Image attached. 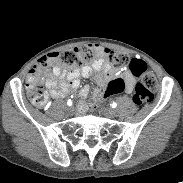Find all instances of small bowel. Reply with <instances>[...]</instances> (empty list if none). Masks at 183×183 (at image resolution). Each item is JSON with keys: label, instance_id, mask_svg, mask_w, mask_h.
<instances>
[{"label": "small bowel", "instance_id": "1", "mask_svg": "<svg viewBox=\"0 0 183 183\" xmlns=\"http://www.w3.org/2000/svg\"><path fill=\"white\" fill-rule=\"evenodd\" d=\"M51 72L60 78V80L50 79L47 81V85L52 89V95L57 98L64 97L78 89L81 86L82 78L94 75L96 83L101 87L108 86L111 79L117 78L116 72L103 57L97 58L91 65L77 67L69 71L54 66ZM121 77L126 81V93H131L135 86L134 74L132 71H126ZM88 92L89 86L84 85L79 92L81 99H84Z\"/></svg>", "mask_w": 183, "mask_h": 183}]
</instances>
